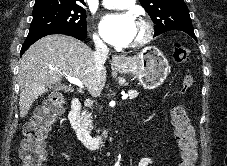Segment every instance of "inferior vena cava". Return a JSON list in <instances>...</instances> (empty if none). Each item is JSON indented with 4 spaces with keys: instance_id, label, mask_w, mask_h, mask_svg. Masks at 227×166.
<instances>
[{
    "instance_id": "602c4592",
    "label": "inferior vena cava",
    "mask_w": 227,
    "mask_h": 166,
    "mask_svg": "<svg viewBox=\"0 0 227 166\" xmlns=\"http://www.w3.org/2000/svg\"><path fill=\"white\" fill-rule=\"evenodd\" d=\"M95 52H94V63L96 77L100 78L101 72L104 68V63L108 57L109 48L107 45L98 37H94ZM100 85V83H99ZM102 88L96 92L95 96H100Z\"/></svg>"
}]
</instances>
